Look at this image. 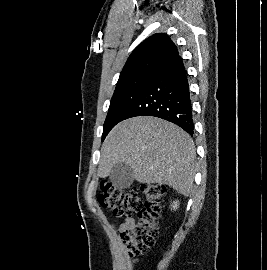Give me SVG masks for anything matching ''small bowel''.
I'll return each instance as SVG.
<instances>
[{
  "instance_id": "1",
  "label": "small bowel",
  "mask_w": 267,
  "mask_h": 270,
  "mask_svg": "<svg viewBox=\"0 0 267 270\" xmlns=\"http://www.w3.org/2000/svg\"><path fill=\"white\" fill-rule=\"evenodd\" d=\"M133 221V219L131 217H127L125 219V221L119 226V230L122 231L124 228H126L131 222Z\"/></svg>"
}]
</instances>
